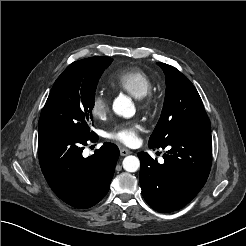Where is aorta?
<instances>
[{
	"label": "aorta",
	"mask_w": 246,
	"mask_h": 246,
	"mask_svg": "<svg viewBox=\"0 0 246 246\" xmlns=\"http://www.w3.org/2000/svg\"><path fill=\"white\" fill-rule=\"evenodd\" d=\"M114 112L124 118L134 116L136 109L131 98L127 96H119L113 102ZM140 167V161L136 156H127L123 160V168L127 172H136Z\"/></svg>",
	"instance_id": "762f6f07"
}]
</instances>
